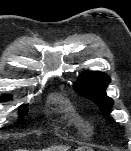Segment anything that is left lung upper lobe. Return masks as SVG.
<instances>
[{
  "label": "left lung upper lobe",
  "mask_w": 131,
  "mask_h": 151,
  "mask_svg": "<svg viewBox=\"0 0 131 151\" xmlns=\"http://www.w3.org/2000/svg\"><path fill=\"white\" fill-rule=\"evenodd\" d=\"M79 80V86H74L77 93L95 102L103 115L113 122L112 118L109 117L113 101L105 93V88L110 82L109 76L102 72H85Z\"/></svg>",
  "instance_id": "5c2ea615"
}]
</instances>
